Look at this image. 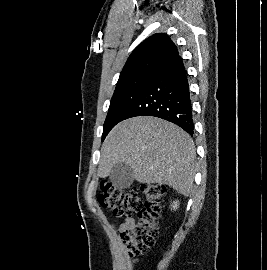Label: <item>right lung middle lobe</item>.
Here are the masks:
<instances>
[{
	"instance_id": "obj_1",
	"label": "right lung middle lobe",
	"mask_w": 267,
	"mask_h": 270,
	"mask_svg": "<svg viewBox=\"0 0 267 270\" xmlns=\"http://www.w3.org/2000/svg\"><path fill=\"white\" fill-rule=\"evenodd\" d=\"M154 74L137 76L116 86L104 123L102 141L110 130L124 120L154 79Z\"/></svg>"
}]
</instances>
